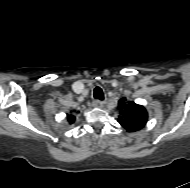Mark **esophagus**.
<instances>
[{"label":"esophagus","mask_w":190,"mask_h":188,"mask_svg":"<svg viewBox=\"0 0 190 188\" xmlns=\"http://www.w3.org/2000/svg\"><path fill=\"white\" fill-rule=\"evenodd\" d=\"M104 104L105 103L100 100H94L92 103L93 107H96V108H102L104 106Z\"/></svg>","instance_id":"34e87169"}]
</instances>
